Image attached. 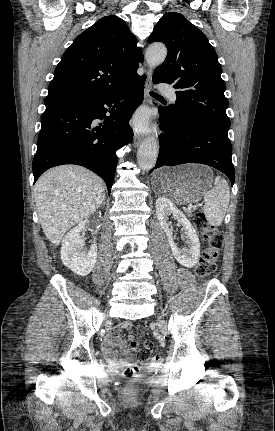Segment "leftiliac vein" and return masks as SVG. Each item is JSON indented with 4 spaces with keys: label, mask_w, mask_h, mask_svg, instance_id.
Returning <instances> with one entry per match:
<instances>
[{
    "label": "left iliac vein",
    "mask_w": 275,
    "mask_h": 431,
    "mask_svg": "<svg viewBox=\"0 0 275 431\" xmlns=\"http://www.w3.org/2000/svg\"><path fill=\"white\" fill-rule=\"evenodd\" d=\"M159 324H160V328H161V331L163 332V334H167V329H166V326L164 324V321L160 319Z\"/></svg>",
    "instance_id": "obj_1"
}]
</instances>
